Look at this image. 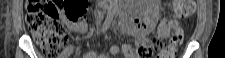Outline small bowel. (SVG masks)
Wrapping results in <instances>:
<instances>
[{"mask_svg": "<svg viewBox=\"0 0 225 58\" xmlns=\"http://www.w3.org/2000/svg\"><path fill=\"white\" fill-rule=\"evenodd\" d=\"M63 22L65 25L73 32L75 33H86L88 31V24L85 20L80 21H69L65 17H63ZM147 32L148 31H142L140 29H137L135 27H130L128 29V33L133 34L136 36V40L134 43V46L129 44H124L122 46L120 45H112L106 52L96 54L95 52H88L85 53L83 58H111L112 56L122 53L124 58H135L134 57V48L142 43L147 42ZM73 50L72 46H68L62 55V58H66Z\"/></svg>", "mask_w": 225, "mask_h": 58, "instance_id": "small-bowel-1", "label": "small bowel"}]
</instances>
